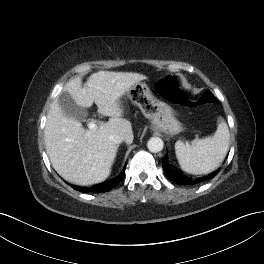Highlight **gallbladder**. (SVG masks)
I'll list each match as a JSON object with an SVG mask.
<instances>
[{
    "label": "gallbladder",
    "instance_id": "gallbladder-1",
    "mask_svg": "<svg viewBox=\"0 0 264 264\" xmlns=\"http://www.w3.org/2000/svg\"><path fill=\"white\" fill-rule=\"evenodd\" d=\"M58 104L62 112L71 118L83 120L87 116V111L80 107L68 92L62 91L57 97Z\"/></svg>",
    "mask_w": 264,
    "mask_h": 264
}]
</instances>
